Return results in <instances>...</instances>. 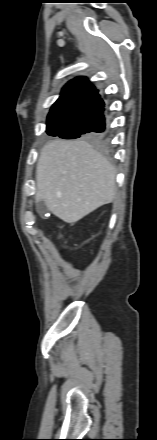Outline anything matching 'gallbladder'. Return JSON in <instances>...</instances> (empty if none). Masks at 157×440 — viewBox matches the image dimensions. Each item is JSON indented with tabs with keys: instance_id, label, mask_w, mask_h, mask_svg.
<instances>
[{
	"instance_id": "1",
	"label": "gallbladder",
	"mask_w": 157,
	"mask_h": 440,
	"mask_svg": "<svg viewBox=\"0 0 157 440\" xmlns=\"http://www.w3.org/2000/svg\"><path fill=\"white\" fill-rule=\"evenodd\" d=\"M36 209L40 216L44 217L48 212L46 204L43 200L36 201Z\"/></svg>"
}]
</instances>
